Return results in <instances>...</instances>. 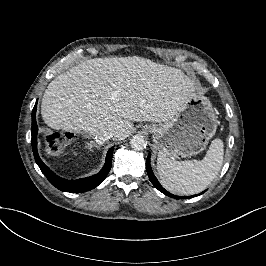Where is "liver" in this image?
I'll return each instance as SVG.
<instances>
[{"label":"liver","mask_w":266,"mask_h":266,"mask_svg":"<svg viewBox=\"0 0 266 266\" xmlns=\"http://www.w3.org/2000/svg\"><path fill=\"white\" fill-rule=\"evenodd\" d=\"M194 81L174 67L139 56L89 59L57 76L42 98L41 115L51 128L106 130L124 140L133 121L165 122L186 107Z\"/></svg>","instance_id":"liver-1"}]
</instances>
